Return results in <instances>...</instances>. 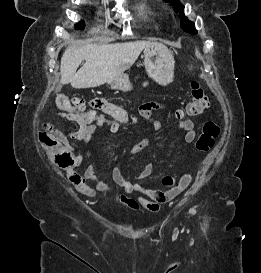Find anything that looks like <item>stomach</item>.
<instances>
[{"label": "stomach", "mask_w": 261, "mask_h": 273, "mask_svg": "<svg viewBox=\"0 0 261 273\" xmlns=\"http://www.w3.org/2000/svg\"><path fill=\"white\" fill-rule=\"evenodd\" d=\"M144 66L149 77L160 85H167L173 81L174 58L169 49L162 43H151L144 49ZM112 89L129 91L132 89L127 74L119 76L107 82Z\"/></svg>", "instance_id": "obj_1"}]
</instances>
